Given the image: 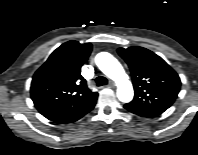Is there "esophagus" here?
<instances>
[{
    "label": "esophagus",
    "instance_id": "1",
    "mask_svg": "<svg viewBox=\"0 0 198 155\" xmlns=\"http://www.w3.org/2000/svg\"><path fill=\"white\" fill-rule=\"evenodd\" d=\"M108 86L113 88V87H115V83L112 80H110L108 83Z\"/></svg>",
    "mask_w": 198,
    "mask_h": 155
}]
</instances>
